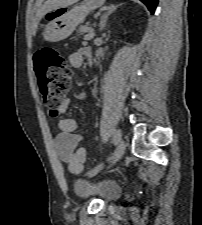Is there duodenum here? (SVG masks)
<instances>
[{"instance_id":"1","label":"duodenum","mask_w":202,"mask_h":225,"mask_svg":"<svg viewBox=\"0 0 202 225\" xmlns=\"http://www.w3.org/2000/svg\"><path fill=\"white\" fill-rule=\"evenodd\" d=\"M87 59L90 63H92V60H93L92 53L87 54Z\"/></svg>"}]
</instances>
